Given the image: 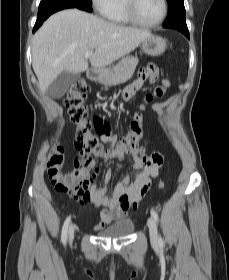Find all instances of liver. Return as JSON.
<instances>
[{"label": "liver", "instance_id": "1", "mask_svg": "<svg viewBox=\"0 0 229 280\" xmlns=\"http://www.w3.org/2000/svg\"><path fill=\"white\" fill-rule=\"evenodd\" d=\"M151 35L148 30L120 26L78 9L60 11L34 35L32 66L39 89L45 93L63 71H86L84 54L88 51H93L89 57L92 67L103 69Z\"/></svg>", "mask_w": 229, "mask_h": 280}]
</instances>
